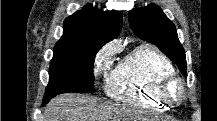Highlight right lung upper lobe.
Masks as SVG:
<instances>
[{
  "label": "right lung upper lobe",
  "instance_id": "cb5924a9",
  "mask_svg": "<svg viewBox=\"0 0 217 121\" xmlns=\"http://www.w3.org/2000/svg\"><path fill=\"white\" fill-rule=\"evenodd\" d=\"M121 11H102L86 5L64 21V33L57 44L96 42L101 47L118 37L122 28Z\"/></svg>",
  "mask_w": 217,
  "mask_h": 121
}]
</instances>
